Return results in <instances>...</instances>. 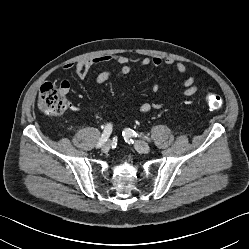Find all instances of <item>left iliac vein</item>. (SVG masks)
<instances>
[{
    "instance_id": "left-iliac-vein-1",
    "label": "left iliac vein",
    "mask_w": 249,
    "mask_h": 249,
    "mask_svg": "<svg viewBox=\"0 0 249 249\" xmlns=\"http://www.w3.org/2000/svg\"><path fill=\"white\" fill-rule=\"evenodd\" d=\"M135 148L140 153H148L150 151L149 145L144 141H136Z\"/></svg>"
}]
</instances>
